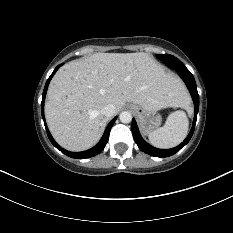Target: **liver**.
Instances as JSON below:
<instances>
[{
    "label": "liver",
    "mask_w": 233,
    "mask_h": 233,
    "mask_svg": "<svg viewBox=\"0 0 233 233\" xmlns=\"http://www.w3.org/2000/svg\"><path fill=\"white\" fill-rule=\"evenodd\" d=\"M126 102L152 111L190 103L181 80L149 54L96 53L58 70L47 92L45 117L59 145L83 151L102 136L109 119L102 108L113 104L118 113Z\"/></svg>",
    "instance_id": "1"
}]
</instances>
